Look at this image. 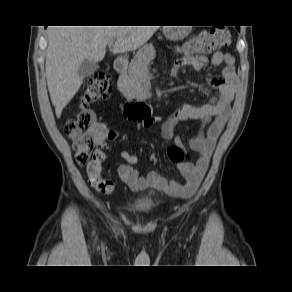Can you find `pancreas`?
<instances>
[{
    "instance_id": "pancreas-1",
    "label": "pancreas",
    "mask_w": 292,
    "mask_h": 292,
    "mask_svg": "<svg viewBox=\"0 0 292 292\" xmlns=\"http://www.w3.org/2000/svg\"><path fill=\"white\" fill-rule=\"evenodd\" d=\"M154 58L153 45H144L130 62L128 70L119 76L118 88L127 99L136 98L143 91L142 78L147 66Z\"/></svg>"
}]
</instances>
